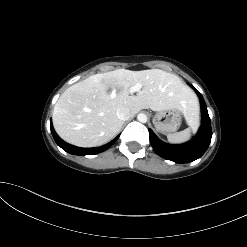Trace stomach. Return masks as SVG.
<instances>
[{
	"label": "stomach",
	"mask_w": 247,
	"mask_h": 247,
	"mask_svg": "<svg viewBox=\"0 0 247 247\" xmlns=\"http://www.w3.org/2000/svg\"><path fill=\"white\" fill-rule=\"evenodd\" d=\"M181 121V112L177 109L159 111L153 118L155 128L163 134L177 131Z\"/></svg>",
	"instance_id": "1"
}]
</instances>
